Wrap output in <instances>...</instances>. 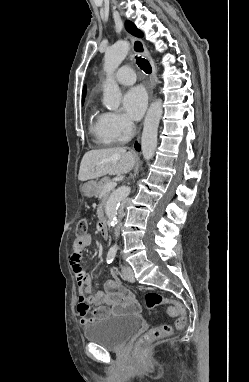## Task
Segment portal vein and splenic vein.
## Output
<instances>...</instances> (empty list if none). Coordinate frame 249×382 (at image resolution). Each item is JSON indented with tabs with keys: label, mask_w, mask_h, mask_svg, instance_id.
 I'll list each match as a JSON object with an SVG mask.
<instances>
[{
	"label": "portal vein and splenic vein",
	"mask_w": 249,
	"mask_h": 382,
	"mask_svg": "<svg viewBox=\"0 0 249 382\" xmlns=\"http://www.w3.org/2000/svg\"><path fill=\"white\" fill-rule=\"evenodd\" d=\"M117 186V183L116 182H108L105 187H104V191H110L112 189H114L115 187Z\"/></svg>",
	"instance_id": "1"
}]
</instances>
